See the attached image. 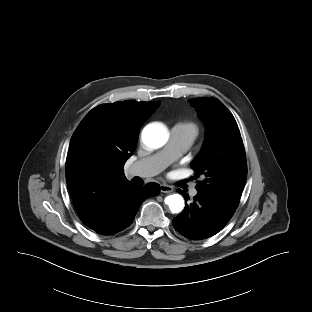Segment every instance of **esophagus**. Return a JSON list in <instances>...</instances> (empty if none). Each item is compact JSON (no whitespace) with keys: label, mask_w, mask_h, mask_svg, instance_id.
Listing matches in <instances>:
<instances>
[{"label":"esophagus","mask_w":312,"mask_h":312,"mask_svg":"<svg viewBox=\"0 0 312 312\" xmlns=\"http://www.w3.org/2000/svg\"><path fill=\"white\" fill-rule=\"evenodd\" d=\"M160 191L162 193H171V192H173V188L169 185L161 184L160 185Z\"/></svg>","instance_id":"obj_1"}]
</instances>
